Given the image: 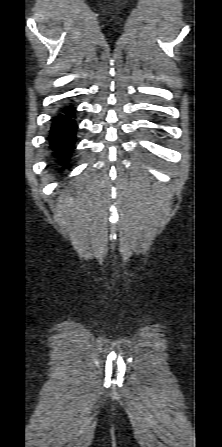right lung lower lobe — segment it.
Returning <instances> with one entry per match:
<instances>
[{"label":"right lung lower lobe","instance_id":"1","mask_svg":"<svg viewBox=\"0 0 222 447\" xmlns=\"http://www.w3.org/2000/svg\"><path fill=\"white\" fill-rule=\"evenodd\" d=\"M77 129L75 107L72 104L59 107L51 119L48 142L53 157L61 164L74 151Z\"/></svg>","mask_w":222,"mask_h":447}]
</instances>
